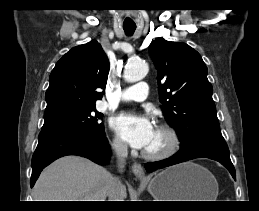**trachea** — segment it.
<instances>
[{
    "label": "trachea",
    "mask_w": 259,
    "mask_h": 211,
    "mask_svg": "<svg viewBox=\"0 0 259 211\" xmlns=\"http://www.w3.org/2000/svg\"><path fill=\"white\" fill-rule=\"evenodd\" d=\"M123 29L126 35L131 36L135 32L136 26L135 25H123Z\"/></svg>",
    "instance_id": "3493384b"
}]
</instances>
